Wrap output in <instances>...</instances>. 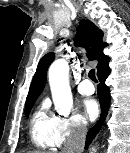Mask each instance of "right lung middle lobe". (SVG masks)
<instances>
[{"instance_id": "obj_1", "label": "right lung middle lobe", "mask_w": 130, "mask_h": 153, "mask_svg": "<svg viewBox=\"0 0 130 153\" xmlns=\"http://www.w3.org/2000/svg\"><path fill=\"white\" fill-rule=\"evenodd\" d=\"M33 104H34V102H31V103H29V104H26V106H25V115H26V116L29 115V113H30V111H31V108H32Z\"/></svg>"}]
</instances>
